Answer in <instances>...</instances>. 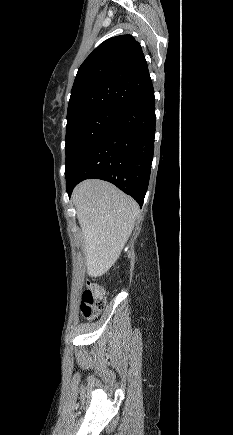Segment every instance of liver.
<instances>
[{"mask_svg":"<svg viewBox=\"0 0 233 435\" xmlns=\"http://www.w3.org/2000/svg\"><path fill=\"white\" fill-rule=\"evenodd\" d=\"M72 200L84 238L87 274L102 276L118 260L139 206L113 184L96 179L78 184Z\"/></svg>","mask_w":233,"mask_h":435,"instance_id":"6515ba94","label":"liver"}]
</instances>
